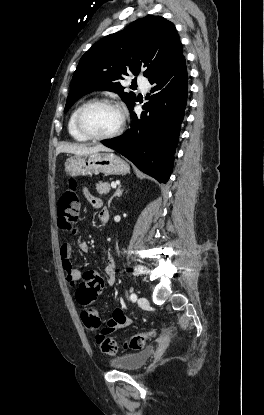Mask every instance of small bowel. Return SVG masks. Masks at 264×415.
<instances>
[{
    "label": "small bowel",
    "mask_w": 264,
    "mask_h": 415,
    "mask_svg": "<svg viewBox=\"0 0 264 415\" xmlns=\"http://www.w3.org/2000/svg\"><path fill=\"white\" fill-rule=\"evenodd\" d=\"M86 197L92 206L98 209L99 223L101 225H105L110 218L108 209L103 206L101 200L95 198L94 196L87 194ZM78 248L82 253H87L89 251V245L84 241L78 243ZM72 251L73 249L70 243H62L59 247L60 261L67 274V279L72 286H76L83 280V274L79 268L72 264ZM105 262V283L108 286H113L116 283V267L114 259L109 253L105 255ZM130 324L131 320L126 317L124 312L121 309H116L113 311L112 317L108 321L104 330L108 333H112L120 328L127 327Z\"/></svg>",
    "instance_id": "obj_1"
}]
</instances>
